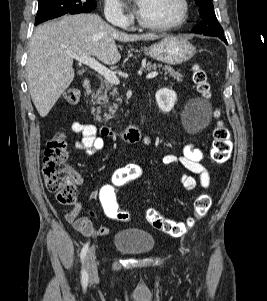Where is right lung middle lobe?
<instances>
[{
  "mask_svg": "<svg viewBox=\"0 0 267 301\" xmlns=\"http://www.w3.org/2000/svg\"><path fill=\"white\" fill-rule=\"evenodd\" d=\"M35 24L62 16L66 13H88L96 8L95 0H38Z\"/></svg>",
  "mask_w": 267,
  "mask_h": 301,
  "instance_id": "right-lung-middle-lobe-1",
  "label": "right lung middle lobe"
}]
</instances>
